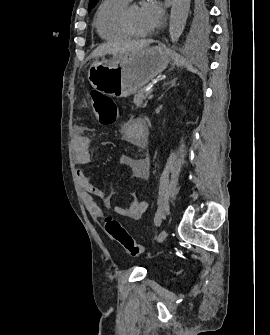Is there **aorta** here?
Here are the masks:
<instances>
[{"label": "aorta", "instance_id": "1", "mask_svg": "<svg viewBox=\"0 0 270 335\" xmlns=\"http://www.w3.org/2000/svg\"><path fill=\"white\" fill-rule=\"evenodd\" d=\"M190 8V0H173L169 32L172 42H177L180 38L188 18Z\"/></svg>", "mask_w": 270, "mask_h": 335}]
</instances>
